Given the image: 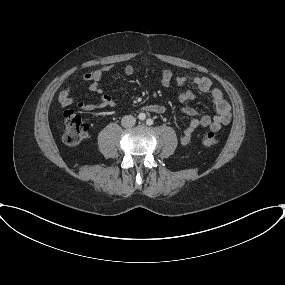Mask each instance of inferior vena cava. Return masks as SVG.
Returning a JSON list of instances; mask_svg holds the SVG:
<instances>
[{
	"instance_id": "obj_1",
	"label": "inferior vena cava",
	"mask_w": 285,
	"mask_h": 285,
	"mask_svg": "<svg viewBox=\"0 0 285 285\" xmlns=\"http://www.w3.org/2000/svg\"><path fill=\"white\" fill-rule=\"evenodd\" d=\"M135 123H136V118L131 115H126L121 120V125L125 128L132 127L134 126Z\"/></svg>"
}]
</instances>
